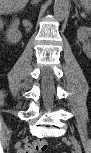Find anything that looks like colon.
Returning a JSON list of instances; mask_svg holds the SVG:
<instances>
[{
  "label": "colon",
  "instance_id": "1",
  "mask_svg": "<svg viewBox=\"0 0 91 153\" xmlns=\"http://www.w3.org/2000/svg\"><path fill=\"white\" fill-rule=\"evenodd\" d=\"M48 149V143L44 139H35L29 142L22 150L23 153H39Z\"/></svg>",
  "mask_w": 91,
  "mask_h": 153
}]
</instances>
